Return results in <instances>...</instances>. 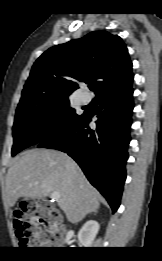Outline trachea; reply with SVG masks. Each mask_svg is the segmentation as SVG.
Wrapping results in <instances>:
<instances>
[{"mask_svg":"<svg viewBox=\"0 0 162 261\" xmlns=\"http://www.w3.org/2000/svg\"><path fill=\"white\" fill-rule=\"evenodd\" d=\"M89 88L93 91L95 89L94 86H89Z\"/></svg>","mask_w":162,"mask_h":261,"instance_id":"3493384b","label":"trachea"}]
</instances>
